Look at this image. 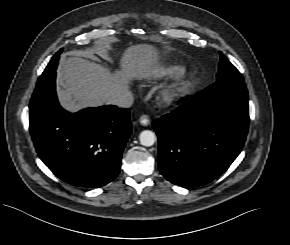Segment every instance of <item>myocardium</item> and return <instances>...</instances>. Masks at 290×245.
<instances>
[{
  "label": "myocardium",
  "instance_id": "obj_1",
  "mask_svg": "<svg viewBox=\"0 0 290 245\" xmlns=\"http://www.w3.org/2000/svg\"><path fill=\"white\" fill-rule=\"evenodd\" d=\"M191 87L189 78L178 77L172 84L160 91L159 99L164 105H172L182 99Z\"/></svg>",
  "mask_w": 290,
  "mask_h": 245
}]
</instances>
